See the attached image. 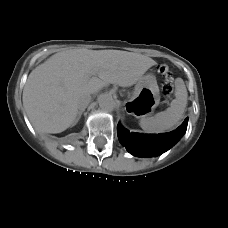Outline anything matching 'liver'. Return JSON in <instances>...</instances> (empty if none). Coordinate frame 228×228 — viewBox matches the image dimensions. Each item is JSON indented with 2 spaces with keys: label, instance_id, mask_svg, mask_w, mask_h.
I'll return each mask as SVG.
<instances>
[{
  "label": "liver",
  "instance_id": "6515ba94",
  "mask_svg": "<svg viewBox=\"0 0 228 228\" xmlns=\"http://www.w3.org/2000/svg\"><path fill=\"white\" fill-rule=\"evenodd\" d=\"M154 65L147 56L120 50L63 51L30 73L23 106L37 131L60 133L75 123L79 94H96L108 84L132 86Z\"/></svg>",
  "mask_w": 228,
  "mask_h": 228
}]
</instances>
